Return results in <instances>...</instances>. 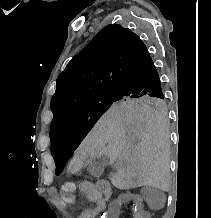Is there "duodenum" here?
Listing matches in <instances>:
<instances>
[{"label":"duodenum","mask_w":211,"mask_h":218,"mask_svg":"<svg viewBox=\"0 0 211 218\" xmlns=\"http://www.w3.org/2000/svg\"><path fill=\"white\" fill-rule=\"evenodd\" d=\"M97 187L101 191V193H103L106 197L110 195L111 190L108 182L100 180L97 182Z\"/></svg>","instance_id":"duodenum-1"}]
</instances>
